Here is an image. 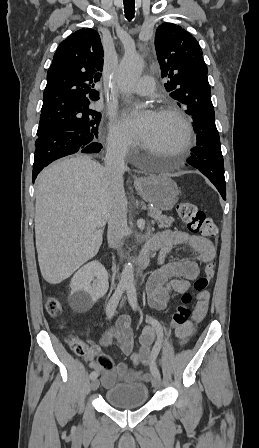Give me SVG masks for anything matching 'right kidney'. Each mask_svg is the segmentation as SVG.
Segmentation results:
<instances>
[{
  "mask_svg": "<svg viewBox=\"0 0 259 448\" xmlns=\"http://www.w3.org/2000/svg\"><path fill=\"white\" fill-rule=\"evenodd\" d=\"M70 288L69 304L72 310L87 312L99 298L105 296L109 288L108 274L104 266L94 260L74 274Z\"/></svg>",
  "mask_w": 259,
  "mask_h": 448,
  "instance_id": "1",
  "label": "right kidney"
}]
</instances>
